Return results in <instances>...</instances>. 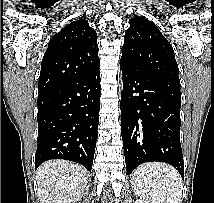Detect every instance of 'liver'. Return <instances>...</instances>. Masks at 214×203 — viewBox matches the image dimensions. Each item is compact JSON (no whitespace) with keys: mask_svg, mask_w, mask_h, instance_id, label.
Returning <instances> with one entry per match:
<instances>
[{"mask_svg":"<svg viewBox=\"0 0 214 203\" xmlns=\"http://www.w3.org/2000/svg\"><path fill=\"white\" fill-rule=\"evenodd\" d=\"M36 180L41 203H77L88 183L85 168L66 160L43 163Z\"/></svg>","mask_w":214,"mask_h":203,"instance_id":"6515ba94","label":"liver"}]
</instances>
